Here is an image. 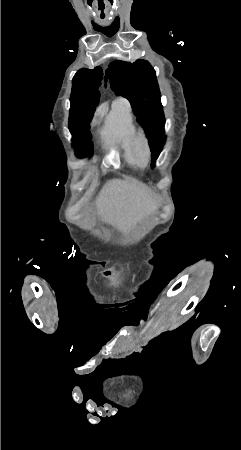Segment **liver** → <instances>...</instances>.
<instances>
[{"mask_svg": "<svg viewBox=\"0 0 241 450\" xmlns=\"http://www.w3.org/2000/svg\"><path fill=\"white\" fill-rule=\"evenodd\" d=\"M157 200V196L142 186L129 184L125 180H110L101 190L95 204L99 216L105 222L129 224L145 212L157 210Z\"/></svg>", "mask_w": 241, "mask_h": 450, "instance_id": "1", "label": "liver"}]
</instances>
